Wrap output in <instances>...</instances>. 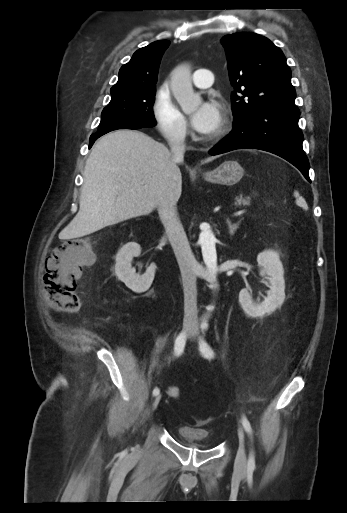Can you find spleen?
Segmentation results:
<instances>
[{"label": "spleen", "mask_w": 347, "mask_h": 513, "mask_svg": "<svg viewBox=\"0 0 347 513\" xmlns=\"http://www.w3.org/2000/svg\"><path fill=\"white\" fill-rule=\"evenodd\" d=\"M294 197L296 198V204L298 206H300L304 210H308V206H307L306 201L304 200V198L302 196H300L298 191L294 192Z\"/></svg>", "instance_id": "1"}]
</instances>
